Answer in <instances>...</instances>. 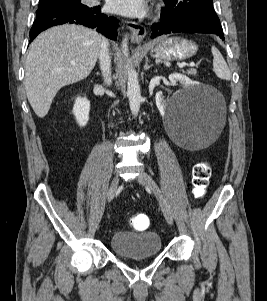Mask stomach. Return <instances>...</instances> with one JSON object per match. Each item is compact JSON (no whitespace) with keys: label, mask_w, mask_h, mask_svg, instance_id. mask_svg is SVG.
<instances>
[{"label":"stomach","mask_w":267,"mask_h":301,"mask_svg":"<svg viewBox=\"0 0 267 301\" xmlns=\"http://www.w3.org/2000/svg\"><path fill=\"white\" fill-rule=\"evenodd\" d=\"M151 55L155 58L185 60L196 54V43L179 37L166 38L150 45Z\"/></svg>","instance_id":"stomach-1"}]
</instances>
